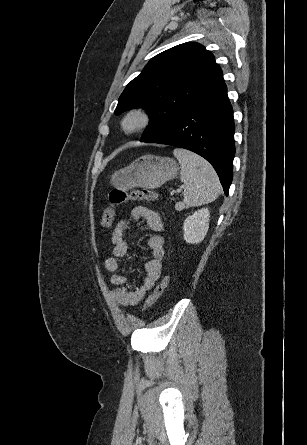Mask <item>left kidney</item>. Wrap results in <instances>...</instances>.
Wrapping results in <instances>:
<instances>
[{
  "instance_id": "5707ae66",
  "label": "left kidney",
  "mask_w": 307,
  "mask_h": 445,
  "mask_svg": "<svg viewBox=\"0 0 307 445\" xmlns=\"http://www.w3.org/2000/svg\"><path fill=\"white\" fill-rule=\"evenodd\" d=\"M209 229V210L200 208L184 220L183 231L186 243H201Z\"/></svg>"
}]
</instances>
